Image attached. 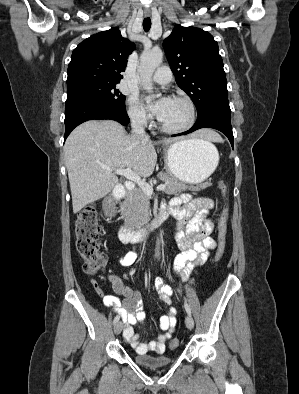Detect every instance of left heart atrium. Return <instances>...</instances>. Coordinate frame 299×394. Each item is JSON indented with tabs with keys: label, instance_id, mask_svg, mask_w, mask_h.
I'll use <instances>...</instances> for the list:
<instances>
[{
	"label": "left heart atrium",
	"instance_id": "obj_1",
	"mask_svg": "<svg viewBox=\"0 0 299 394\" xmlns=\"http://www.w3.org/2000/svg\"><path fill=\"white\" fill-rule=\"evenodd\" d=\"M168 98H161L158 101L151 102L149 97H146L147 105L151 109V111L157 115L159 118L162 116L164 113L167 104H168Z\"/></svg>",
	"mask_w": 299,
	"mask_h": 394
}]
</instances>
